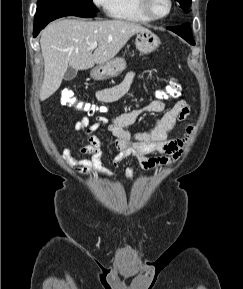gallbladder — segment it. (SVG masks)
Masks as SVG:
<instances>
[{
	"label": "gallbladder",
	"mask_w": 243,
	"mask_h": 289,
	"mask_svg": "<svg viewBox=\"0 0 243 289\" xmlns=\"http://www.w3.org/2000/svg\"><path fill=\"white\" fill-rule=\"evenodd\" d=\"M76 75L77 70L69 66L64 74V80L71 81L76 77Z\"/></svg>",
	"instance_id": "obj_1"
}]
</instances>
